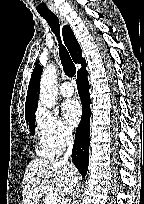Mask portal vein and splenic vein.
Listing matches in <instances>:
<instances>
[{"instance_id":"obj_1","label":"portal vein and splenic vein","mask_w":144,"mask_h":204,"mask_svg":"<svg viewBox=\"0 0 144 204\" xmlns=\"http://www.w3.org/2000/svg\"><path fill=\"white\" fill-rule=\"evenodd\" d=\"M58 193L56 191H51L47 194L45 198V204H57Z\"/></svg>"}]
</instances>
